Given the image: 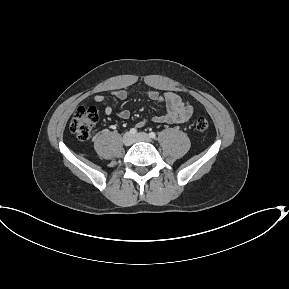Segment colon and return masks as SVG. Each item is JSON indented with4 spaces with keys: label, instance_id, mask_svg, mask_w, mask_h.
<instances>
[{
    "label": "colon",
    "instance_id": "1",
    "mask_svg": "<svg viewBox=\"0 0 289 289\" xmlns=\"http://www.w3.org/2000/svg\"><path fill=\"white\" fill-rule=\"evenodd\" d=\"M98 120V112L95 107L80 106L72 117L69 128L80 140H87ZM196 130L205 133L209 128L208 121L200 117L195 124Z\"/></svg>",
    "mask_w": 289,
    "mask_h": 289
}]
</instances>
